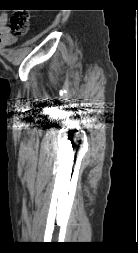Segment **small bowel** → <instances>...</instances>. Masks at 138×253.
<instances>
[{
    "instance_id": "small-bowel-1",
    "label": "small bowel",
    "mask_w": 138,
    "mask_h": 253,
    "mask_svg": "<svg viewBox=\"0 0 138 253\" xmlns=\"http://www.w3.org/2000/svg\"><path fill=\"white\" fill-rule=\"evenodd\" d=\"M15 42V37L13 36L10 27L6 24V18L0 16V47H7Z\"/></svg>"
}]
</instances>
